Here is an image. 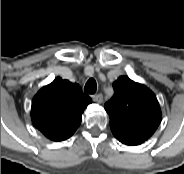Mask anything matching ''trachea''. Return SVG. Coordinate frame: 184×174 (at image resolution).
<instances>
[{
	"label": "trachea",
	"instance_id": "3493384b",
	"mask_svg": "<svg viewBox=\"0 0 184 174\" xmlns=\"http://www.w3.org/2000/svg\"><path fill=\"white\" fill-rule=\"evenodd\" d=\"M97 90V84L96 81L91 78L89 79L84 87V92H86L87 94H94Z\"/></svg>",
	"mask_w": 184,
	"mask_h": 174
}]
</instances>
